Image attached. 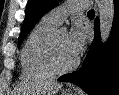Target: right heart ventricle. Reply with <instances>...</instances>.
Wrapping results in <instances>:
<instances>
[{
    "mask_svg": "<svg viewBox=\"0 0 119 95\" xmlns=\"http://www.w3.org/2000/svg\"><path fill=\"white\" fill-rule=\"evenodd\" d=\"M56 27L57 24L43 17L30 32L20 54L24 79L44 80L53 75L45 62V48Z\"/></svg>",
    "mask_w": 119,
    "mask_h": 95,
    "instance_id": "right-heart-ventricle-1",
    "label": "right heart ventricle"
}]
</instances>
